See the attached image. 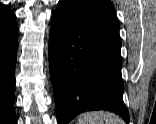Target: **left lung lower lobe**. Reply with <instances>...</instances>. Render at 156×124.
I'll return each mask as SVG.
<instances>
[{"label":"left lung lower lobe","instance_id":"obj_1","mask_svg":"<svg viewBox=\"0 0 156 124\" xmlns=\"http://www.w3.org/2000/svg\"><path fill=\"white\" fill-rule=\"evenodd\" d=\"M119 32L60 0L52 15L50 76L57 120L68 124L84 111L107 110L129 123L123 103Z\"/></svg>","mask_w":156,"mask_h":124}]
</instances>
